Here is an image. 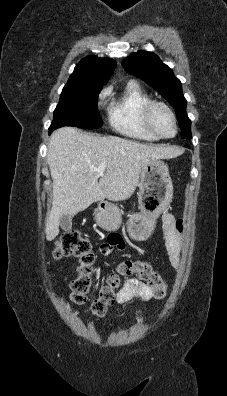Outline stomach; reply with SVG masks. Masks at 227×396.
I'll return each instance as SVG.
<instances>
[{"instance_id":"obj_1","label":"stomach","mask_w":227,"mask_h":396,"mask_svg":"<svg viewBox=\"0 0 227 396\" xmlns=\"http://www.w3.org/2000/svg\"><path fill=\"white\" fill-rule=\"evenodd\" d=\"M138 186L141 212L129 217L127 230L133 240L144 241L152 235L158 216L172 200L173 184L167 164L159 159L146 163ZM95 221L102 229L115 231L121 224V211L113 204L100 202L95 209Z\"/></svg>"}]
</instances>
